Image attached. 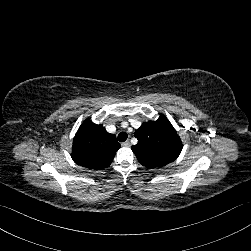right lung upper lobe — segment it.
I'll return each instance as SVG.
<instances>
[{
	"mask_svg": "<svg viewBox=\"0 0 251 251\" xmlns=\"http://www.w3.org/2000/svg\"><path fill=\"white\" fill-rule=\"evenodd\" d=\"M119 148L114 134L86 119L74 137L71 157L82 167L101 170L111 164Z\"/></svg>",
	"mask_w": 251,
	"mask_h": 251,
	"instance_id": "right-lung-upper-lobe-1",
	"label": "right lung upper lobe"
}]
</instances>
